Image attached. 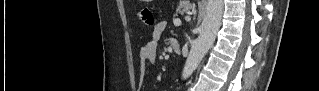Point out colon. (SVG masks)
Masks as SVG:
<instances>
[{
    "label": "colon",
    "mask_w": 319,
    "mask_h": 91,
    "mask_svg": "<svg viewBox=\"0 0 319 91\" xmlns=\"http://www.w3.org/2000/svg\"><path fill=\"white\" fill-rule=\"evenodd\" d=\"M139 20L146 26H153L155 24V18L152 9L149 7H143L138 11Z\"/></svg>",
    "instance_id": "colon-1"
}]
</instances>
